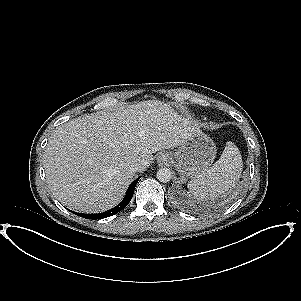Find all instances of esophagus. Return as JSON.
<instances>
[{
	"label": "esophagus",
	"mask_w": 301,
	"mask_h": 301,
	"mask_svg": "<svg viewBox=\"0 0 301 301\" xmlns=\"http://www.w3.org/2000/svg\"><path fill=\"white\" fill-rule=\"evenodd\" d=\"M170 161H171V157L169 153H161L157 157V164L159 166H168L170 164Z\"/></svg>",
	"instance_id": "esophagus-1"
}]
</instances>
